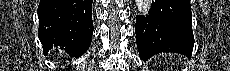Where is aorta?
Here are the masks:
<instances>
[{
    "mask_svg": "<svg viewBox=\"0 0 230 71\" xmlns=\"http://www.w3.org/2000/svg\"><path fill=\"white\" fill-rule=\"evenodd\" d=\"M137 9L141 15L147 16L151 8V0H135Z\"/></svg>",
    "mask_w": 230,
    "mask_h": 71,
    "instance_id": "762f6f07",
    "label": "aorta"
}]
</instances>
